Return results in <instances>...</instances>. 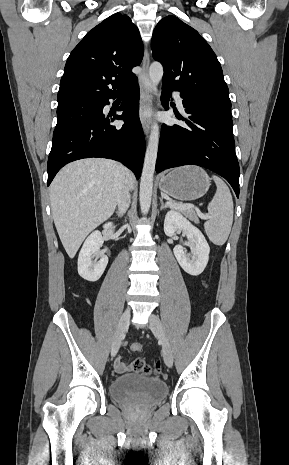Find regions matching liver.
<instances>
[{
	"label": "liver",
	"instance_id": "6515ba94",
	"mask_svg": "<svg viewBox=\"0 0 289 465\" xmlns=\"http://www.w3.org/2000/svg\"><path fill=\"white\" fill-rule=\"evenodd\" d=\"M123 178L135 186L133 173L100 158L74 161L63 167L50 186L53 220L68 256L74 258L86 236L112 216L117 188Z\"/></svg>",
	"mask_w": 289,
	"mask_h": 465
}]
</instances>
